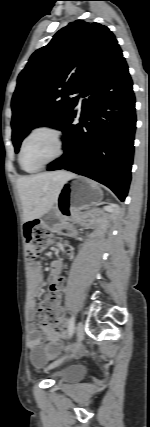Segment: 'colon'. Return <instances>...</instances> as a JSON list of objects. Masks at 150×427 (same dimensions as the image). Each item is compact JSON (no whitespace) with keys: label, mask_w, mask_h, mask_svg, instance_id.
Segmentation results:
<instances>
[{"label":"colon","mask_w":150,"mask_h":427,"mask_svg":"<svg viewBox=\"0 0 150 427\" xmlns=\"http://www.w3.org/2000/svg\"><path fill=\"white\" fill-rule=\"evenodd\" d=\"M24 233L27 240V258L30 261H34L52 241V235L39 220L27 222L24 227ZM62 283L63 280L60 283L61 286ZM38 312L43 327L57 335L64 332L59 293L55 287L51 288L46 297L40 302Z\"/></svg>","instance_id":"5ec220e1"}]
</instances>
